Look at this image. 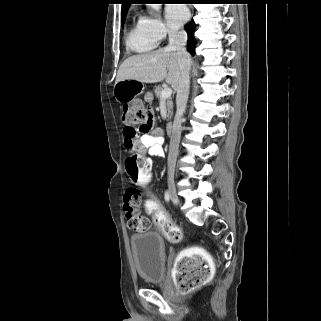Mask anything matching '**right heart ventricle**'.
Masks as SVG:
<instances>
[{
    "mask_svg": "<svg viewBox=\"0 0 321 321\" xmlns=\"http://www.w3.org/2000/svg\"><path fill=\"white\" fill-rule=\"evenodd\" d=\"M157 40L144 28L141 19L134 22L126 34V46L134 53H146L157 46Z\"/></svg>",
    "mask_w": 321,
    "mask_h": 321,
    "instance_id": "e07e8e85",
    "label": "right heart ventricle"
}]
</instances>
